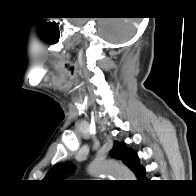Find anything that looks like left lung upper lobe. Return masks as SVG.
Segmentation results:
<instances>
[{
	"label": "left lung upper lobe",
	"mask_w": 196,
	"mask_h": 196,
	"mask_svg": "<svg viewBox=\"0 0 196 196\" xmlns=\"http://www.w3.org/2000/svg\"><path fill=\"white\" fill-rule=\"evenodd\" d=\"M110 155L113 158L123 161L132 171L135 165V159L138 156L134 151L127 148L124 143L114 142V146L110 152ZM73 169L71 163H60L55 165L49 172L46 174L43 180L46 181H59L69 174Z\"/></svg>",
	"instance_id": "5c2ea615"
}]
</instances>
